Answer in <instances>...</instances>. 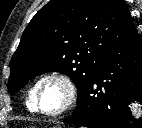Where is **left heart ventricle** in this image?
<instances>
[{
    "instance_id": "left-heart-ventricle-1",
    "label": "left heart ventricle",
    "mask_w": 142,
    "mask_h": 128,
    "mask_svg": "<svg viewBox=\"0 0 142 128\" xmlns=\"http://www.w3.org/2000/svg\"><path fill=\"white\" fill-rule=\"evenodd\" d=\"M65 98L63 85L57 81H47L41 88L39 104L45 111H56L63 105Z\"/></svg>"
}]
</instances>
